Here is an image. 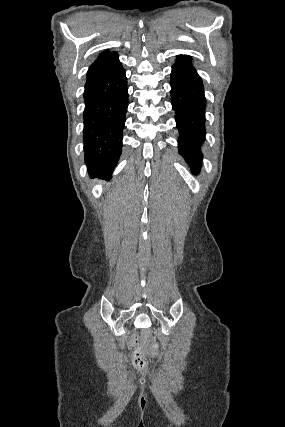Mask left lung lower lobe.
<instances>
[{"label":"left lung lower lobe","mask_w":285,"mask_h":427,"mask_svg":"<svg viewBox=\"0 0 285 427\" xmlns=\"http://www.w3.org/2000/svg\"><path fill=\"white\" fill-rule=\"evenodd\" d=\"M171 103L179 130L178 148L194 175L200 172L205 140V107L203 84L187 55L177 56L171 73Z\"/></svg>","instance_id":"0a47b994"}]
</instances>
